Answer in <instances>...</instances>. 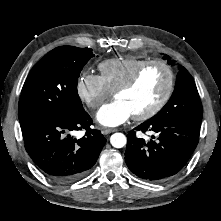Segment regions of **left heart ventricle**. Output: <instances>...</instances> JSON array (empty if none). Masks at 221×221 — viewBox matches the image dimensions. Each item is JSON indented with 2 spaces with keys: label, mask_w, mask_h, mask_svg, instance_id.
Returning <instances> with one entry per match:
<instances>
[{
  "label": "left heart ventricle",
  "mask_w": 221,
  "mask_h": 221,
  "mask_svg": "<svg viewBox=\"0 0 221 221\" xmlns=\"http://www.w3.org/2000/svg\"><path fill=\"white\" fill-rule=\"evenodd\" d=\"M167 85L165 70L157 65L149 67L138 82L116 96L124 101L131 109L133 115L150 109L160 98Z\"/></svg>",
  "instance_id": "left-heart-ventricle-1"
}]
</instances>
